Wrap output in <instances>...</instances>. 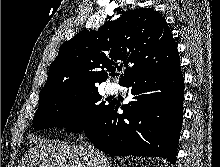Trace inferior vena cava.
<instances>
[{
    "label": "inferior vena cava",
    "mask_w": 220,
    "mask_h": 167,
    "mask_svg": "<svg viewBox=\"0 0 220 167\" xmlns=\"http://www.w3.org/2000/svg\"><path fill=\"white\" fill-rule=\"evenodd\" d=\"M96 158L98 160V166L97 167H110L107 159L100 154L99 152H96Z\"/></svg>",
    "instance_id": "obj_1"
}]
</instances>
